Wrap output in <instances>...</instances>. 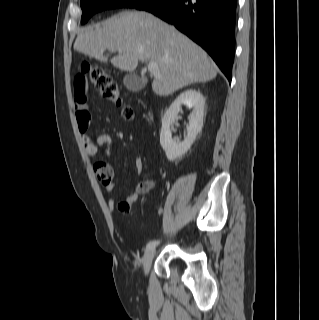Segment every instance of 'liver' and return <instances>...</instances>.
<instances>
[{"instance_id": "6515ba94", "label": "liver", "mask_w": 319, "mask_h": 320, "mask_svg": "<svg viewBox=\"0 0 319 320\" xmlns=\"http://www.w3.org/2000/svg\"><path fill=\"white\" fill-rule=\"evenodd\" d=\"M74 50L106 62V50L118 52L110 62L122 71L132 72L139 61L156 62L161 77H155L152 89L168 96L192 83L214 79L217 69L207 53L154 15L146 12H122L101 23L83 28Z\"/></svg>"}]
</instances>
